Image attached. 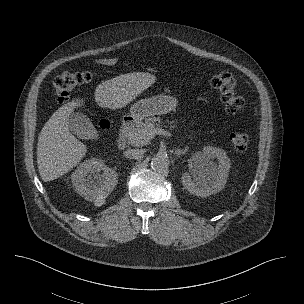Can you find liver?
Masks as SVG:
<instances>
[{
    "label": "liver",
    "mask_w": 304,
    "mask_h": 304,
    "mask_svg": "<svg viewBox=\"0 0 304 304\" xmlns=\"http://www.w3.org/2000/svg\"><path fill=\"white\" fill-rule=\"evenodd\" d=\"M156 77L150 73L133 72L101 83L95 90V101L103 108L119 109L152 86ZM83 104L73 100L55 111L42 128L37 144V164L45 182L57 179L78 165L87 147L69 130L68 118Z\"/></svg>",
    "instance_id": "1"
}]
</instances>
